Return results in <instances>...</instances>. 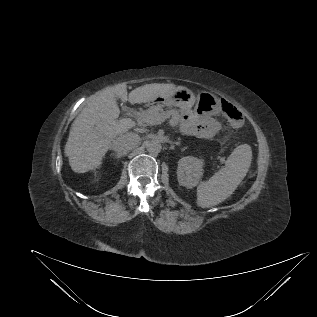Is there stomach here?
Returning <instances> with one entry per match:
<instances>
[{"instance_id": "stomach-1", "label": "stomach", "mask_w": 317, "mask_h": 317, "mask_svg": "<svg viewBox=\"0 0 317 317\" xmlns=\"http://www.w3.org/2000/svg\"><path fill=\"white\" fill-rule=\"evenodd\" d=\"M152 102L179 107L183 110H189L195 105L204 115H216L220 111V99L217 96L207 91L199 92L195 96L190 89L183 86L176 87L169 94L157 97Z\"/></svg>"}]
</instances>
